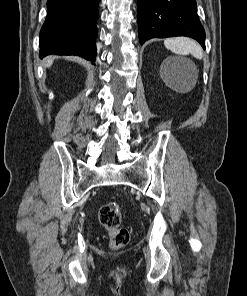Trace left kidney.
<instances>
[{"mask_svg": "<svg viewBox=\"0 0 247 296\" xmlns=\"http://www.w3.org/2000/svg\"><path fill=\"white\" fill-rule=\"evenodd\" d=\"M177 62H180L179 59L176 58H169L166 60L167 65H169L171 68H175V69H183L181 68V64H177Z\"/></svg>", "mask_w": 247, "mask_h": 296, "instance_id": "1", "label": "left kidney"}]
</instances>
